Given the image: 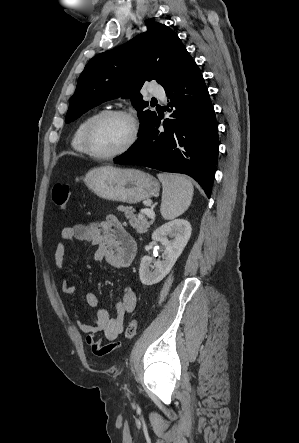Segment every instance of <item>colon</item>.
I'll return each mask as SVG.
<instances>
[{"label": "colon", "instance_id": "colon-1", "mask_svg": "<svg viewBox=\"0 0 299 443\" xmlns=\"http://www.w3.org/2000/svg\"><path fill=\"white\" fill-rule=\"evenodd\" d=\"M70 197V187L65 183H57L54 185L51 193L53 203L60 209H65L68 205ZM138 322L133 319L128 322L125 328V337L132 339L137 333Z\"/></svg>", "mask_w": 299, "mask_h": 443}]
</instances>
